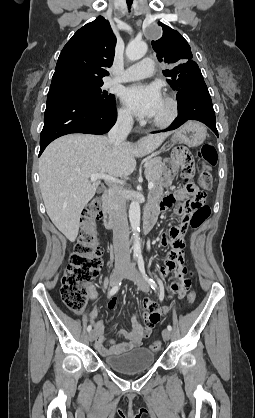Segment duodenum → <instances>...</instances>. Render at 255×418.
<instances>
[{"mask_svg":"<svg viewBox=\"0 0 255 418\" xmlns=\"http://www.w3.org/2000/svg\"><path fill=\"white\" fill-rule=\"evenodd\" d=\"M103 203V223L107 230H113L116 225V211L113 207L110 193L106 191L102 196ZM158 216V209L150 205L145 212L144 216V230L145 232L151 231Z\"/></svg>","mask_w":255,"mask_h":418,"instance_id":"obj_1","label":"duodenum"}]
</instances>
